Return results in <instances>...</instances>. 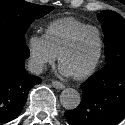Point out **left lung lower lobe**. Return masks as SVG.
Listing matches in <instances>:
<instances>
[{"mask_svg":"<svg viewBox=\"0 0 125 125\" xmlns=\"http://www.w3.org/2000/svg\"><path fill=\"white\" fill-rule=\"evenodd\" d=\"M80 105L65 112L70 125H117L125 118V55L116 56L81 86Z\"/></svg>","mask_w":125,"mask_h":125,"instance_id":"left-lung-lower-lobe-1","label":"left lung lower lobe"}]
</instances>
